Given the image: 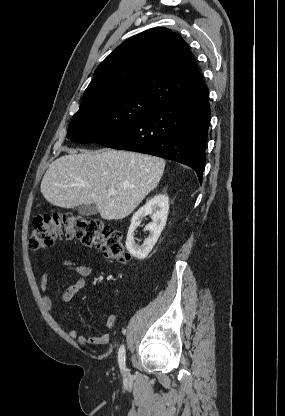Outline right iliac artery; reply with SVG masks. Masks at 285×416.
Instances as JSON below:
<instances>
[{"label":"right iliac artery","instance_id":"82829eb1","mask_svg":"<svg viewBox=\"0 0 285 416\" xmlns=\"http://www.w3.org/2000/svg\"><path fill=\"white\" fill-rule=\"evenodd\" d=\"M118 362L121 370L125 369V347L122 345L118 352Z\"/></svg>","mask_w":285,"mask_h":416}]
</instances>
